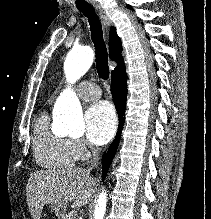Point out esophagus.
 <instances>
[{"instance_id":"esophagus-1","label":"esophagus","mask_w":211,"mask_h":219,"mask_svg":"<svg viewBox=\"0 0 211 219\" xmlns=\"http://www.w3.org/2000/svg\"><path fill=\"white\" fill-rule=\"evenodd\" d=\"M96 10L98 11L102 24L105 28L109 27L111 24V21L108 17V14L106 13V11L104 9H102L99 5L95 4L94 5Z\"/></svg>"}]
</instances>
